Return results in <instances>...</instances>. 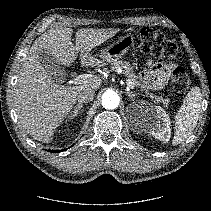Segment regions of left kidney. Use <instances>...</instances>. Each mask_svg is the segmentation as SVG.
Masks as SVG:
<instances>
[{"label": "left kidney", "instance_id": "1", "mask_svg": "<svg viewBox=\"0 0 211 211\" xmlns=\"http://www.w3.org/2000/svg\"><path fill=\"white\" fill-rule=\"evenodd\" d=\"M154 119L148 124L150 134L156 139L163 142H168L171 137L170 119L163 108L155 106L152 111Z\"/></svg>", "mask_w": 211, "mask_h": 211}]
</instances>
